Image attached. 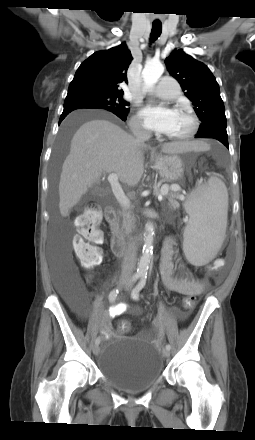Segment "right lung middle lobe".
I'll list each match as a JSON object with an SVG mask.
<instances>
[{"label":"right lung middle lobe","instance_id":"dd1d6c3e","mask_svg":"<svg viewBox=\"0 0 255 440\" xmlns=\"http://www.w3.org/2000/svg\"><path fill=\"white\" fill-rule=\"evenodd\" d=\"M129 103L126 102L120 94H108L91 92L71 97H66L65 107L99 108L106 109L113 113L126 116L129 109L126 108Z\"/></svg>","mask_w":255,"mask_h":440}]
</instances>
